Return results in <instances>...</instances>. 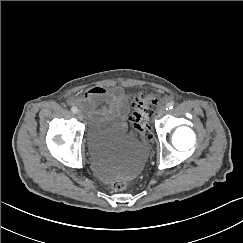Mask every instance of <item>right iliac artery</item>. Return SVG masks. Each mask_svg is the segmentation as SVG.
Wrapping results in <instances>:
<instances>
[{"label":"right iliac artery","mask_w":243,"mask_h":243,"mask_svg":"<svg viewBox=\"0 0 243 243\" xmlns=\"http://www.w3.org/2000/svg\"><path fill=\"white\" fill-rule=\"evenodd\" d=\"M71 110H72L73 113H77L78 112V109L76 107H74V106L71 108Z\"/></svg>","instance_id":"1"}]
</instances>
